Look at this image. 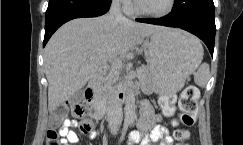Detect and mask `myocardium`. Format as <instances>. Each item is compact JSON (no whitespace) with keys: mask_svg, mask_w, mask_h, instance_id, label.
<instances>
[{"mask_svg":"<svg viewBox=\"0 0 243 145\" xmlns=\"http://www.w3.org/2000/svg\"><path fill=\"white\" fill-rule=\"evenodd\" d=\"M175 5H176V0H170L169 6L164 11H162V12H151V11L145 10L141 6L139 0H134V7H135V10L138 13L145 15V16H148V17H153V18H163V17L170 15L172 13V11L174 10Z\"/></svg>","mask_w":243,"mask_h":145,"instance_id":"1","label":"myocardium"}]
</instances>
